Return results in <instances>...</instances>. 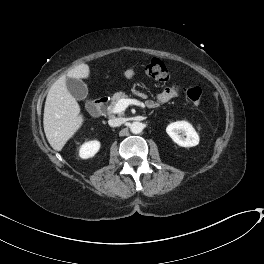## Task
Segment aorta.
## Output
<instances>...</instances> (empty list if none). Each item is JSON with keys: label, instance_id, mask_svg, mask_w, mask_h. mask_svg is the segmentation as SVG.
<instances>
[{"label": "aorta", "instance_id": "1", "mask_svg": "<svg viewBox=\"0 0 264 264\" xmlns=\"http://www.w3.org/2000/svg\"><path fill=\"white\" fill-rule=\"evenodd\" d=\"M143 130V124L140 123V122H133L131 123L130 125V131L133 133V134H139L140 132H142Z\"/></svg>", "mask_w": 264, "mask_h": 264}]
</instances>
